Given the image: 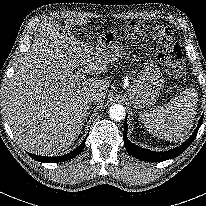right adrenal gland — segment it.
<instances>
[{"instance_id": "2a0ac1e0", "label": "right adrenal gland", "mask_w": 206, "mask_h": 206, "mask_svg": "<svg viewBox=\"0 0 206 206\" xmlns=\"http://www.w3.org/2000/svg\"><path fill=\"white\" fill-rule=\"evenodd\" d=\"M90 108H91V106L89 105V110H88V114H87V116L90 114Z\"/></svg>"}]
</instances>
